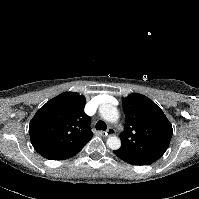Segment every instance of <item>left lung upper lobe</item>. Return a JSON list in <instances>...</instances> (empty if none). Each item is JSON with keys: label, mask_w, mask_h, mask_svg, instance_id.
<instances>
[{"label": "left lung upper lobe", "mask_w": 199, "mask_h": 199, "mask_svg": "<svg viewBox=\"0 0 199 199\" xmlns=\"http://www.w3.org/2000/svg\"><path fill=\"white\" fill-rule=\"evenodd\" d=\"M126 122L120 134L119 150L145 158L158 160L167 150L172 125L152 100L142 94H131L122 99Z\"/></svg>", "instance_id": "1"}]
</instances>
